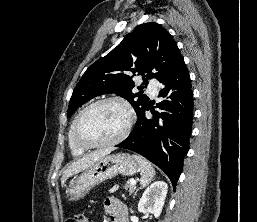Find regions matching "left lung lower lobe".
Instances as JSON below:
<instances>
[{"label": "left lung lower lobe", "mask_w": 257, "mask_h": 222, "mask_svg": "<svg viewBox=\"0 0 257 222\" xmlns=\"http://www.w3.org/2000/svg\"><path fill=\"white\" fill-rule=\"evenodd\" d=\"M165 87L158 97L165 99L151 110L147 119L145 110L138 115L131 134L116 147L134 151L160 167L170 178L175 189L183 169V159L189 150L193 120V92L190 76L181 58L159 81Z\"/></svg>", "instance_id": "left-lung-lower-lobe-1"}]
</instances>
